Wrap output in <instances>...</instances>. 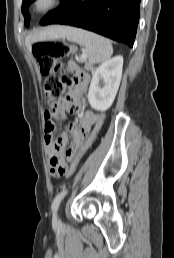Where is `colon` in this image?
I'll return each instance as SVG.
<instances>
[{"mask_svg": "<svg viewBox=\"0 0 174 258\" xmlns=\"http://www.w3.org/2000/svg\"><path fill=\"white\" fill-rule=\"evenodd\" d=\"M32 50L42 75L46 76L44 83L45 95L49 103L54 106L56 101L74 85L71 77H57L55 74L61 66V59L72 56L75 53V48L65 41H41L36 42ZM104 118L102 113L96 115L90 133L86 136V140L80 146L74 160L67 169L66 175L68 177H71L76 172L82 157L97 140L104 123Z\"/></svg>", "mask_w": 174, "mask_h": 258, "instance_id": "1", "label": "colon"}]
</instances>
